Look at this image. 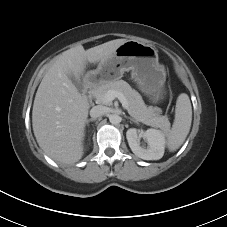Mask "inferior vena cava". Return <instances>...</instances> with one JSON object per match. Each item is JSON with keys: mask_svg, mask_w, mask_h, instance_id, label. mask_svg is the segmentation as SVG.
<instances>
[{"mask_svg": "<svg viewBox=\"0 0 227 227\" xmlns=\"http://www.w3.org/2000/svg\"><path fill=\"white\" fill-rule=\"evenodd\" d=\"M106 113V107L97 105L90 110V116L94 119L103 116Z\"/></svg>", "mask_w": 227, "mask_h": 227, "instance_id": "1", "label": "inferior vena cava"}]
</instances>
